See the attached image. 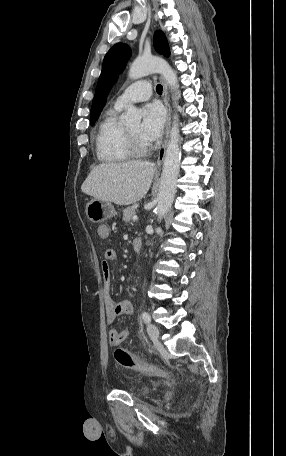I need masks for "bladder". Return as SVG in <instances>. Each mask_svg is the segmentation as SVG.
I'll return each instance as SVG.
<instances>
[{
    "instance_id": "bladder-1",
    "label": "bladder",
    "mask_w": 286,
    "mask_h": 456,
    "mask_svg": "<svg viewBox=\"0 0 286 456\" xmlns=\"http://www.w3.org/2000/svg\"><path fill=\"white\" fill-rule=\"evenodd\" d=\"M155 391L154 385H141L134 390V393L141 396H146Z\"/></svg>"
}]
</instances>
